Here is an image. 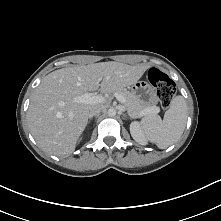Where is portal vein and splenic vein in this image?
Here are the masks:
<instances>
[{
  "label": "portal vein and splenic vein",
  "mask_w": 221,
  "mask_h": 221,
  "mask_svg": "<svg viewBox=\"0 0 221 221\" xmlns=\"http://www.w3.org/2000/svg\"><path fill=\"white\" fill-rule=\"evenodd\" d=\"M114 96L116 97V99L120 103H123V104L125 103V98L122 95L115 93ZM76 101L81 102V103H87V104H96V103H103L105 101V98L101 95L95 96L92 93H85V94L77 97ZM156 111H159V108H157V107L146 108L142 112V115L153 114Z\"/></svg>",
  "instance_id": "portal-vein-and-splenic-vein-1"
}]
</instances>
